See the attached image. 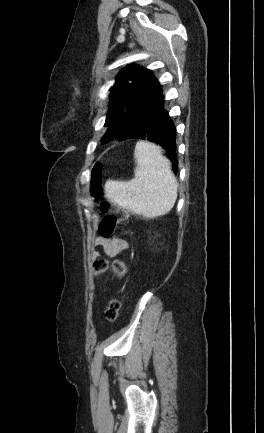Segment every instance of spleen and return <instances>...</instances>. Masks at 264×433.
Returning a JSON list of instances; mask_svg holds the SVG:
<instances>
[{
  "label": "spleen",
  "instance_id": "spleen-1",
  "mask_svg": "<svg viewBox=\"0 0 264 433\" xmlns=\"http://www.w3.org/2000/svg\"><path fill=\"white\" fill-rule=\"evenodd\" d=\"M134 157L135 176L129 181L108 180L106 197L121 208L155 218L167 214L177 199V180L170 161L161 149L148 141H138Z\"/></svg>",
  "mask_w": 264,
  "mask_h": 433
}]
</instances>
